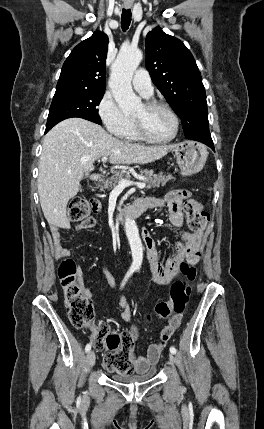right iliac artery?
Masks as SVG:
<instances>
[{
  "mask_svg": "<svg viewBox=\"0 0 264 429\" xmlns=\"http://www.w3.org/2000/svg\"><path fill=\"white\" fill-rule=\"evenodd\" d=\"M134 272V269H132V268H130L129 270H128V272L126 273V275H125V278H124V280H123V282H122V284H121V288L125 285V283H126V281L128 280V278L132 275V273ZM90 349H91V344L89 343V344H87L86 345V347H85V351L86 352H89L90 351Z\"/></svg>",
  "mask_w": 264,
  "mask_h": 429,
  "instance_id": "82829eb1",
  "label": "right iliac artery"
}]
</instances>
